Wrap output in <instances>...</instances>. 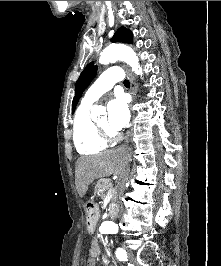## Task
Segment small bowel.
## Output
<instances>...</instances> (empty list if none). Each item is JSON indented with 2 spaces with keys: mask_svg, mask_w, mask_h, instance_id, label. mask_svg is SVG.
<instances>
[{
  "mask_svg": "<svg viewBox=\"0 0 221 266\" xmlns=\"http://www.w3.org/2000/svg\"><path fill=\"white\" fill-rule=\"evenodd\" d=\"M89 255H90V258L88 261V266H95L94 258L99 256V255L102 257V262H103L104 266H111L110 260L107 256V254L101 250L99 240L96 237H93L91 239V248H90Z\"/></svg>",
  "mask_w": 221,
  "mask_h": 266,
  "instance_id": "small-bowel-1",
  "label": "small bowel"
}]
</instances>
